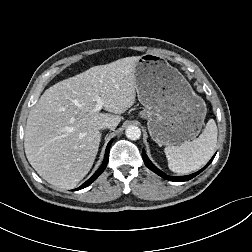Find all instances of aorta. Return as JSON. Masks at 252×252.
<instances>
[{
	"label": "aorta",
	"instance_id": "aorta-1",
	"mask_svg": "<svg viewBox=\"0 0 252 252\" xmlns=\"http://www.w3.org/2000/svg\"><path fill=\"white\" fill-rule=\"evenodd\" d=\"M126 137L129 140H138L141 136V130L138 126H129L125 131Z\"/></svg>",
	"mask_w": 252,
	"mask_h": 252
}]
</instances>
